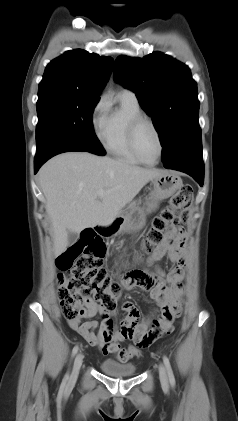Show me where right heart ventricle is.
Returning a JSON list of instances; mask_svg holds the SVG:
<instances>
[{
  "mask_svg": "<svg viewBox=\"0 0 238 421\" xmlns=\"http://www.w3.org/2000/svg\"><path fill=\"white\" fill-rule=\"evenodd\" d=\"M139 114L142 112L138 101L120 94L118 105L107 112L105 125L100 135L105 149L110 154L131 165L140 164L132 153L128 140L129 124Z\"/></svg>",
  "mask_w": 238,
  "mask_h": 421,
  "instance_id": "right-heart-ventricle-1",
  "label": "right heart ventricle"
}]
</instances>
